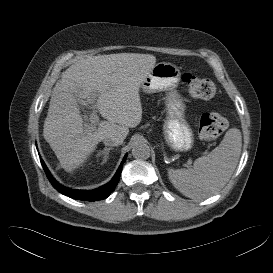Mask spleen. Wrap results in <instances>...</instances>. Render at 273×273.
<instances>
[{"label":"spleen","instance_id":"obj_1","mask_svg":"<svg viewBox=\"0 0 273 273\" xmlns=\"http://www.w3.org/2000/svg\"><path fill=\"white\" fill-rule=\"evenodd\" d=\"M241 132L229 129L219 146L197 158L191 169H168L173 186L184 196L200 200L221 190L231 178L240 158Z\"/></svg>","mask_w":273,"mask_h":273}]
</instances>
